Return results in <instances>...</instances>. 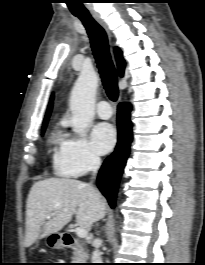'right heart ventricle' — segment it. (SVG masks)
<instances>
[{
  "instance_id": "1",
  "label": "right heart ventricle",
  "mask_w": 205,
  "mask_h": 265,
  "mask_svg": "<svg viewBox=\"0 0 205 265\" xmlns=\"http://www.w3.org/2000/svg\"><path fill=\"white\" fill-rule=\"evenodd\" d=\"M61 141L62 140L60 139V137L57 134L52 136V138L50 140V144H51L52 151H53L54 165H55V163H56V161L58 159V156H59V150H60Z\"/></svg>"
}]
</instances>
